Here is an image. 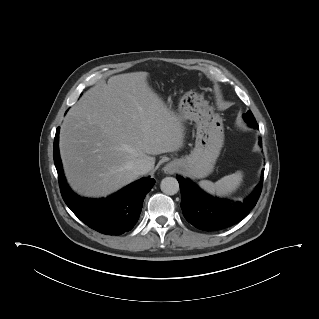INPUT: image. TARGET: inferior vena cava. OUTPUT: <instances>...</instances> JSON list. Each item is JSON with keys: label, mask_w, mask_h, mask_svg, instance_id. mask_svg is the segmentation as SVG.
<instances>
[{"label": "inferior vena cava", "mask_w": 319, "mask_h": 319, "mask_svg": "<svg viewBox=\"0 0 319 319\" xmlns=\"http://www.w3.org/2000/svg\"><path fill=\"white\" fill-rule=\"evenodd\" d=\"M152 168V163L148 159H139L132 166V171L136 175H143L149 172Z\"/></svg>", "instance_id": "602c4592"}]
</instances>
